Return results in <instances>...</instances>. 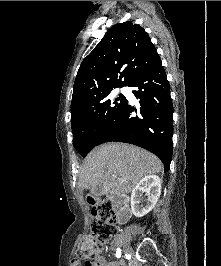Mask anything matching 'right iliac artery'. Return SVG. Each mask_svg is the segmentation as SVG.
I'll return each instance as SVG.
<instances>
[{"instance_id":"82829eb1","label":"right iliac artery","mask_w":221,"mask_h":266,"mask_svg":"<svg viewBox=\"0 0 221 266\" xmlns=\"http://www.w3.org/2000/svg\"><path fill=\"white\" fill-rule=\"evenodd\" d=\"M116 257L117 258H120L121 257V249H117V251H116Z\"/></svg>"}]
</instances>
